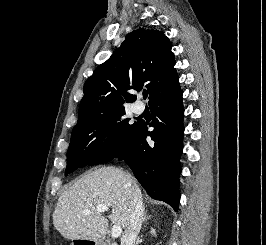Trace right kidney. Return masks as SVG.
<instances>
[{"mask_svg": "<svg viewBox=\"0 0 266 245\" xmlns=\"http://www.w3.org/2000/svg\"><path fill=\"white\" fill-rule=\"evenodd\" d=\"M152 235H155V229H151Z\"/></svg>", "mask_w": 266, "mask_h": 245, "instance_id": "1", "label": "right kidney"}]
</instances>
